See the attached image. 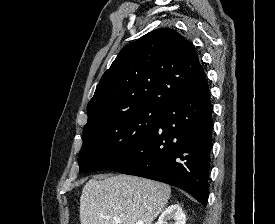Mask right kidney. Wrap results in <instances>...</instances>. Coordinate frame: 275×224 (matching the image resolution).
<instances>
[{"mask_svg": "<svg viewBox=\"0 0 275 224\" xmlns=\"http://www.w3.org/2000/svg\"><path fill=\"white\" fill-rule=\"evenodd\" d=\"M170 220L174 221L173 224H185L186 216L179 204L170 205L166 208L155 224H168Z\"/></svg>", "mask_w": 275, "mask_h": 224, "instance_id": "obj_1", "label": "right kidney"}]
</instances>
